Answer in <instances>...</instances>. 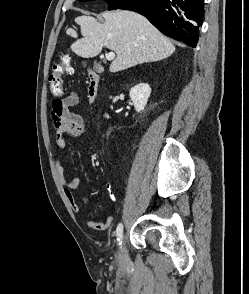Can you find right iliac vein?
I'll return each instance as SVG.
<instances>
[{
  "instance_id": "1",
  "label": "right iliac vein",
  "mask_w": 249,
  "mask_h": 294,
  "mask_svg": "<svg viewBox=\"0 0 249 294\" xmlns=\"http://www.w3.org/2000/svg\"><path fill=\"white\" fill-rule=\"evenodd\" d=\"M119 260H120V262H126L127 261V250H126L125 236H123V238H122V245H121V248H120Z\"/></svg>"
}]
</instances>
